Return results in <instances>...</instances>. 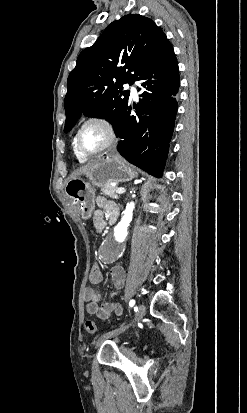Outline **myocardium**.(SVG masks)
I'll return each mask as SVG.
<instances>
[{
    "label": "myocardium",
    "mask_w": 247,
    "mask_h": 413,
    "mask_svg": "<svg viewBox=\"0 0 247 413\" xmlns=\"http://www.w3.org/2000/svg\"><path fill=\"white\" fill-rule=\"evenodd\" d=\"M90 125H97L103 128L108 129L109 131V138L107 140V142L98 150L93 151V152H89L86 151L80 144V134L81 132L88 126ZM118 137H119V133H118V129L116 127V125L109 120L108 118L105 117H101V116H94L92 118H89L88 120H86L81 126L80 128L77 130L76 134H75V146L77 151L85 158H93L96 157L100 154H102L103 152H105L106 150H108L109 148H111L112 146H114L116 144V142L118 141Z\"/></svg>",
    "instance_id": "1"
}]
</instances>
